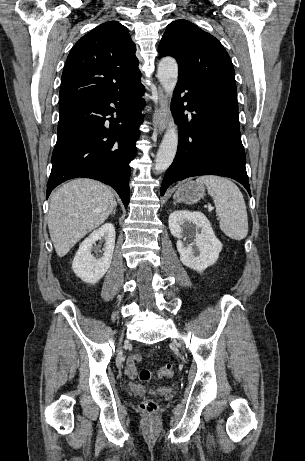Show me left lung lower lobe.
I'll return each mask as SVG.
<instances>
[{"label": "left lung lower lobe", "mask_w": 305, "mask_h": 461, "mask_svg": "<svg viewBox=\"0 0 305 461\" xmlns=\"http://www.w3.org/2000/svg\"><path fill=\"white\" fill-rule=\"evenodd\" d=\"M184 91V97L180 98ZM172 110L178 113L175 119L179 126V143L160 194L164 195L172 183L187 177L219 175L240 182L251 196L239 129L236 85L227 81L189 83L178 80ZM185 110L193 112L191 117L184 115Z\"/></svg>", "instance_id": "1"}]
</instances>
